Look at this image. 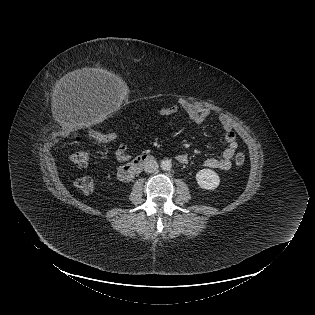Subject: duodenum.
Here are the masks:
<instances>
[{
  "label": "duodenum",
  "mask_w": 315,
  "mask_h": 315,
  "mask_svg": "<svg viewBox=\"0 0 315 315\" xmlns=\"http://www.w3.org/2000/svg\"><path fill=\"white\" fill-rule=\"evenodd\" d=\"M151 161L148 155H141L134 160L124 164L118 171V177L123 182L131 181L143 168V166Z\"/></svg>",
  "instance_id": "obj_1"
}]
</instances>
